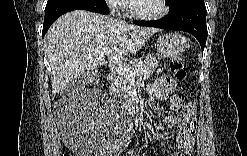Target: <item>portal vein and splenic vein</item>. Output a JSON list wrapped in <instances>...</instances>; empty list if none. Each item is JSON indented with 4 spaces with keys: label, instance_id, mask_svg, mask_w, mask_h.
<instances>
[{
    "label": "portal vein and splenic vein",
    "instance_id": "1",
    "mask_svg": "<svg viewBox=\"0 0 247 156\" xmlns=\"http://www.w3.org/2000/svg\"><path fill=\"white\" fill-rule=\"evenodd\" d=\"M100 61L102 64H107L111 72L118 73L120 75H126L132 79H135V77L139 74L138 71H133L129 67L121 64H116L112 62H106L104 58H100Z\"/></svg>",
    "mask_w": 247,
    "mask_h": 156
}]
</instances>
